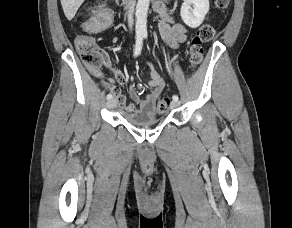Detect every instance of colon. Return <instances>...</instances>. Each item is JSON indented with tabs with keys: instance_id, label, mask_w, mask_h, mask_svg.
Masks as SVG:
<instances>
[{
	"instance_id": "obj_1",
	"label": "colon",
	"mask_w": 292,
	"mask_h": 228,
	"mask_svg": "<svg viewBox=\"0 0 292 228\" xmlns=\"http://www.w3.org/2000/svg\"><path fill=\"white\" fill-rule=\"evenodd\" d=\"M230 0H216V6L225 11ZM112 23V15L104 13L100 18L90 21L85 25L88 32H98L107 28ZM215 36V29L211 25L201 26L191 38L189 47V64L191 68L198 67L204 58L203 44L211 41ZM76 48L85 67L94 75L100 76V69L104 61V55L97 46L95 39L90 35H80L76 39ZM168 97H162L157 104L159 112H164L170 107Z\"/></svg>"
}]
</instances>
